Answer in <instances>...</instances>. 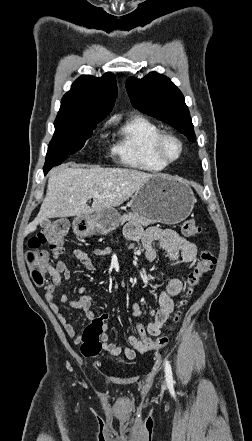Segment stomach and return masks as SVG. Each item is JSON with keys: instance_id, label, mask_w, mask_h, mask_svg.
I'll return each mask as SVG.
<instances>
[{"instance_id": "obj_1", "label": "stomach", "mask_w": 252, "mask_h": 441, "mask_svg": "<svg viewBox=\"0 0 252 441\" xmlns=\"http://www.w3.org/2000/svg\"><path fill=\"white\" fill-rule=\"evenodd\" d=\"M196 199L191 188L176 178L154 175L131 197L130 206L134 213L165 224H177L191 213ZM121 221L114 208L97 212L94 216H78L74 221L80 234L98 232L106 235L116 229Z\"/></svg>"}]
</instances>
